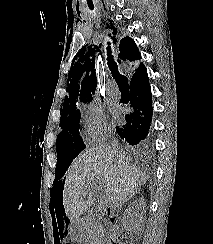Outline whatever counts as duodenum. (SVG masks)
<instances>
[{
  "mask_svg": "<svg viewBox=\"0 0 213 244\" xmlns=\"http://www.w3.org/2000/svg\"><path fill=\"white\" fill-rule=\"evenodd\" d=\"M106 220L109 222L111 219L110 217H106ZM115 231V226L111 225V233L109 234V238H108V244H114L113 240L115 238L114 232Z\"/></svg>",
  "mask_w": 213,
  "mask_h": 244,
  "instance_id": "1",
  "label": "duodenum"
}]
</instances>
